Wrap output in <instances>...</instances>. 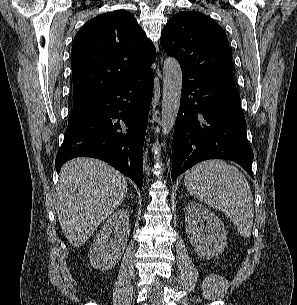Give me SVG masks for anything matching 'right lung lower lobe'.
Instances as JSON below:
<instances>
[{
	"label": "right lung lower lobe",
	"instance_id": "98d812e1",
	"mask_svg": "<svg viewBox=\"0 0 297 305\" xmlns=\"http://www.w3.org/2000/svg\"><path fill=\"white\" fill-rule=\"evenodd\" d=\"M153 94V70L103 90L70 113L56 170L78 156L101 159L142 190L143 144Z\"/></svg>",
	"mask_w": 297,
	"mask_h": 305
}]
</instances>
